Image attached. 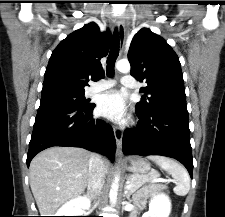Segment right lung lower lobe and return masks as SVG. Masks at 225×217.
Instances as JSON below:
<instances>
[{
    "label": "right lung lower lobe",
    "mask_w": 225,
    "mask_h": 217,
    "mask_svg": "<svg viewBox=\"0 0 225 217\" xmlns=\"http://www.w3.org/2000/svg\"><path fill=\"white\" fill-rule=\"evenodd\" d=\"M95 104L88 108L40 105L27 154V166L40 151L52 146L82 147L114 161L116 143L112 129L92 117Z\"/></svg>",
    "instance_id": "98d812e1"
}]
</instances>
